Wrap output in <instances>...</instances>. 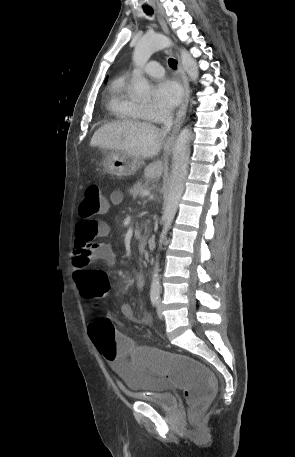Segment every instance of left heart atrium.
Returning <instances> with one entry per match:
<instances>
[{
    "mask_svg": "<svg viewBox=\"0 0 295 457\" xmlns=\"http://www.w3.org/2000/svg\"><path fill=\"white\" fill-rule=\"evenodd\" d=\"M154 98L158 105L167 109L174 108L181 101V87L175 80L163 79L155 86Z\"/></svg>",
    "mask_w": 295,
    "mask_h": 457,
    "instance_id": "1",
    "label": "left heart atrium"
}]
</instances>
